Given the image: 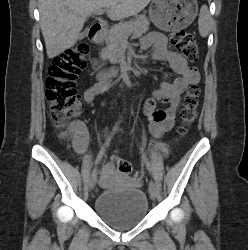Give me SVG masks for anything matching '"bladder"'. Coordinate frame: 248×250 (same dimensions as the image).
<instances>
[{"mask_svg": "<svg viewBox=\"0 0 248 250\" xmlns=\"http://www.w3.org/2000/svg\"><path fill=\"white\" fill-rule=\"evenodd\" d=\"M94 208L106 224L118 230H127L137 226L146 217L149 204L141 189L113 187L98 195Z\"/></svg>", "mask_w": 248, "mask_h": 250, "instance_id": "31cf9c89", "label": "bladder"}]
</instances>
